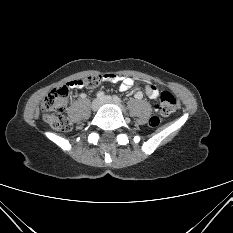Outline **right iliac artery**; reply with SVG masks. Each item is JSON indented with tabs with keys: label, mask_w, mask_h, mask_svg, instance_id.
Segmentation results:
<instances>
[{
	"label": "right iliac artery",
	"mask_w": 233,
	"mask_h": 233,
	"mask_svg": "<svg viewBox=\"0 0 233 233\" xmlns=\"http://www.w3.org/2000/svg\"><path fill=\"white\" fill-rule=\"evenodd\" d=\"M96 96H97L98 99H102V98H104L105 93H104L103 91H99V92L96 94Z\"/></svg>",
	"instance_id": "right-iliac-artery-1"
}]
</instances>
